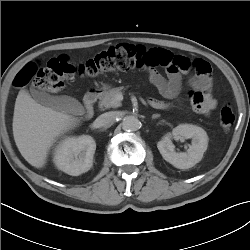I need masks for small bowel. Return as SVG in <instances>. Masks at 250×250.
<instances>
[{
	"label": "small bowel",
	"instance_id": "obj_1",
	"mask_svg": "<svg viewBox=\"0 0 250 250\" xmlns=\"http://www.w3.org/2000/svg\"><path fill=\"white\" fill-rule=\"evenodd\" d=\"M209 78L210 74L208 71L201 69L199 73L189 78V83L192 87L200 88L204 81L208 80ZM149 79L158 88L160 93L169 100H156L160 104L159 109H168L172 107L173 102L170 101H173L178 97L182 87V73L180 70L169 73L167 78L162 76L156 70H151L149 72ZM216 105L217 100L210 93H205L204 99L201 102L192 104V110L196 114L209 115Z\"/></svg>",
	"mask_w": 250,
	"mask_h": 250
}]
</instances>
